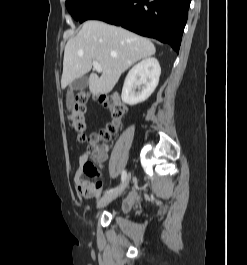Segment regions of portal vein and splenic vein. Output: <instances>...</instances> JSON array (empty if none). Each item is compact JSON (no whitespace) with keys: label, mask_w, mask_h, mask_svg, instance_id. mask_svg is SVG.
I'll return each instance as SVG.
<instances>
[{"label":"portal vein and splenic vein","mask_w":247,"mask_h":265,"mask_svg":"<svg viewBox=\"0 0 247 265\" xmlns=\"http://www.w3.org/2000/svg\"><path fill=\"white\" fill-rule=\"evenodd\" d=\"M93 67L97 72H102V67L97 61H93Z\"/></svg>","instance_id":"obj_1"}]
</instances>
